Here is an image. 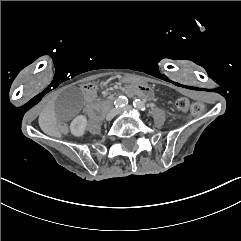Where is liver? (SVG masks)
<instances>
[{"label":"liver","instance_id":"6515ba94","mask_svg":"<svg viewBox=\"0 0 241 241\" xmlns=\"http://www.w3.org/2000/svg\"><path fill=\"white\" fill-rule=\"evenodd\" d=\"M39 126L44 133L57 138L61 137V133L57 128L56 118L53 109L47 108L44 112L40 114Z\"/></svg>","mask_w":241,"mask_h":241}]
</instances>
